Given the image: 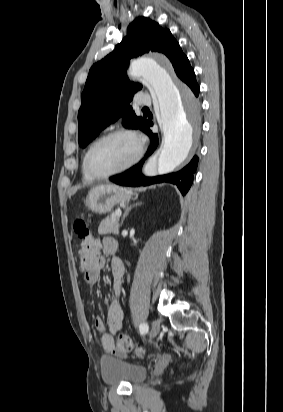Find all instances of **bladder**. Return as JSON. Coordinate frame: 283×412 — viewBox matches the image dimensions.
Segmentation results:
<instances>
[{"instance_id": "31cf9c89", "label": "bladder", "mask_w": 283, "mask_h": 412, "mask_svg": "<svg viewBox=\"0 0 283 412\" xmlns=\"http://www.w3.org/2000/svg\"><path fill=\"white\" fill-rule=\"evenodd\" d=\"M100 374L108 385L136 386L146 380L148 371L146 367L126 360L104 358L100 362Z\"/></svg>"}]
</instances>
